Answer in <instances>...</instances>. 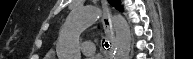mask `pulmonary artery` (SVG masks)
Returning a JSON list of instances; mask_svg holds the SVG:
<instances>
[{
    "instance_id": "e3ab8cb5",
    "label": "pulmonary artery",
    "mask_w": 193,
    "mask_h": 59,
    "mask_svg": "<svg viewBox=\"0 0 193 59\" xmlns=\"http://www.w3.org/2000/svg\"><path fill=\"white\" fill-rule=\"evenodd\" d=\"M96 51V46L91 41H84L82 43V52L85 55H92Z\"/></svg>"
}]
</instances>
